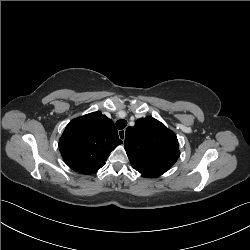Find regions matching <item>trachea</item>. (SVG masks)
I'll return each instance as SVG.
<instances>
[{"mask_svg": "<svg viewBox=\"0 0 250 250\" xmlns=\"http://www.w3.org/2000/svg\"><path fill=\"white\" fill-rule=\"evenodd\" d=\"M126 125H127V121H126V120H123V119L118 120V121L116 122V126H117V128H118L119 130L124 129V128L126 127Z\"/></svg>", "mask_w": 250, "mask_h": 250, "instance_id": "3493384b", "label": "trachea"}]
</instances>
